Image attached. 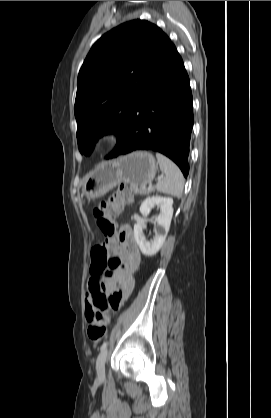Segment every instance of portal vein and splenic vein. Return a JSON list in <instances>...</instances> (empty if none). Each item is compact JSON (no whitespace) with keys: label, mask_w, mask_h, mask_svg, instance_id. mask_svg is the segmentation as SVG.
<instances>
[{"label":"portal vein and splenic vein","mask_w":271,"mask_h":418,"mask_svg":"<svg viewBox=\"0 0 271 418\" xmlns=\"http://www.w3.org/2000/svg\"><path fill=\"white\" fill-rule=\"evenodd\" d=\"M158 180H160V178ZM149 189H152V185L151 184L149 185Z\"/></svg>","instance_id":"18ae733b"}]
</instances>
